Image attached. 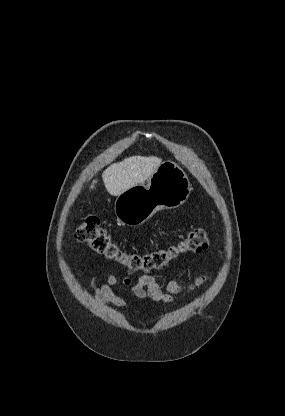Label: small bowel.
<instances>
[{"label":"small bowel","instance_id":"c3829d8e","mask_svg":"<svg viewBox=\"0 0 285 416\" xmlns=\"http://www.w3.org/2000/svg\"><path fill=\"white\" fill-rule=\"evenodd\" d=\"M212 277L211 273H205L197 276L190 284L183 285L178 282H170L165 290H162L156 279L151 275H142L136 281L129 277L119 280L114 274H108L106 280L101 284L98 283L96 275L90 279L89 287L92 290L95 299L106 308L118 306L124 308L127 306L125 300L117 295L114 287H122L130 291L137 298L163 302L170 304L175 297L183 292L193 291Z\"/></svg>","mask_w":285,"mask_h":416}]
</instances>
